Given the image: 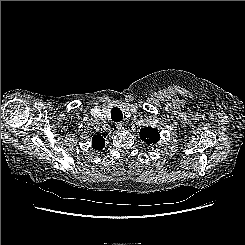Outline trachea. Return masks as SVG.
Masks as SVG:
<instances>
[{"label": "trachea", "instance_id": "3493384b", "mask_svg": "<svg viewBox=\"0 0 245 245\" xmlns=\"http://www.w3.org/2000/svg\"><path fill=\"white\" fill-rule=\"evenodd\" d=\"M111 119L114 122L122 121V119H123L122 111L119 108H117V107L112 108V110H111Z\"/></svg>", "mask_w": 245, "mask_h": 245}]
</instances>
